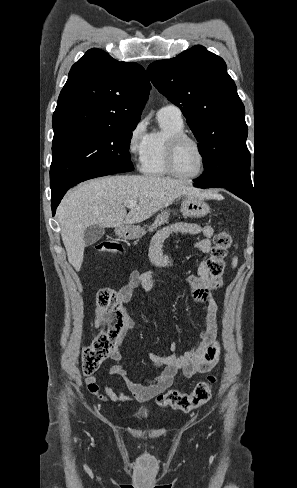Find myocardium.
Segmentation results:
<instances>
[{"label":"myocardium","instance_id":"f54148a6","mask_svg":"<svg viewBox=\"0 0 297 488\" xmlns=\"http://www.w3.org/2000/svg\"><path fill=\"white\" fill-rule=\"evenodd\" d=\"M184 142H192L197 147L201 158L199 169L194 174L191 175H184L180 173L176 168L177 151ZM164 160H165V166L170 174L182 180H192L202 175L203 172L205 171L206 163H207V155H206L205 148L203 147L201 142L195 137L184 132V133L176 134L168 139L165 148Z\"/></svg>","mask_w":297,"mask_h":488}]
</instances>
